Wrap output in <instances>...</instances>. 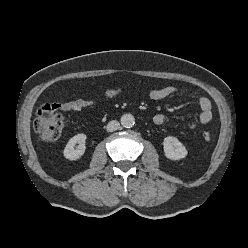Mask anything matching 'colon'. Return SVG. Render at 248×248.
Listing matches in <instances>:
<instances>
[{"label":"colon","mask_w":248,"mask_h":248,"mask_svg":"<svg viewBox=\"0 0 248 248\" xmlns=\"http://www.w3.org/2000/svg\"><path fill=\"white\" fill-rule=\"evenodd\" d=\"M120 92V88H108L96 94L92 100L97 102L99 100L113 98ZM63 126V117L58 113L39 115L34 122L36 132L40 135L41 139L46 142L57 140L62 134ZM202 138L204 141H210L211 134L205 131L202 133Z\"/></svg>","instance_id":"1"}]
</instances>
